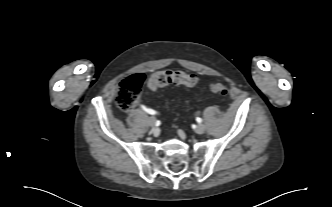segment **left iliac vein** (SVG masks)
Instances as JSON below:
<instances>
[{"instance_id":"left-iliac-vein-1","label":"left iliac vein","mask_w":332,"mask_h":207,"mask_svg":"<svg viewBox=\"0 0 332 207\" xmlns=\"http://www.w3.org/2000/svg\"><path fill=\"white\" fill-rule=\"evenodd\" d=\"M197 134H202L205 132V126L203 124H198L195 128Z\"/></svg>"}]
</instances>
